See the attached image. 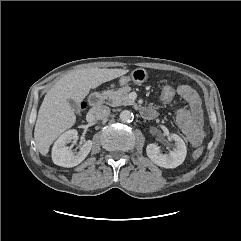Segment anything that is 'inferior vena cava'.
Wrapping results in <instances>:
<instances>
[{
  "label": "inferior vena cava",
  "mask_w": 241,
  "mask_h": 241,
  "mask_svg": "<svg viewBox=\"0 0 241 241\" xmlns=\"http://www.w3.org/2000/svg\"><path fill=\"white\" fill-rule=\"evenodd\" d=\"M90 113H91L93 119L101 120V119H105L109 116L110 108L107 106L101 105V106L92 108Z\"/></svg>",
  "instance_id": "602c4592"
}]
</instances>
